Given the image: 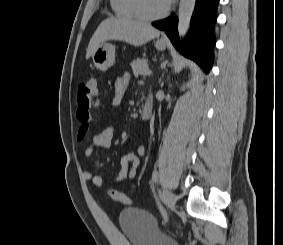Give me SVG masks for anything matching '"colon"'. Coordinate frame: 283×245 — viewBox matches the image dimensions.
Instances as JSON below:
<instances>
[{
  "label": "colon",
  "instance_id": "5ec220e1",
  "mask_svg": "<svg viewBox=\"0 0 283 245\" xmlns=\"http://www.w3.org/2000/svg\"><path fill=\"white\" fill-rule=\"evenodd\" d=\"M97 78L91 75L85 82L79 86L78 90V109L77 118L80 121L78 139L86 138L91 131V122L93 119V109L95 105V95L97 90ZM110 197L121 204L130 205L131 200L124 193L118 190H111Z\"/></svg>",
  "mask_w": 283,
  "mask_h": 245
}]
</instances>
